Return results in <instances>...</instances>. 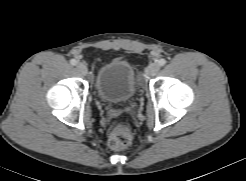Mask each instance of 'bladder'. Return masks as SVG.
<instances>
[{
	"instance_id": "31cf9c89",
	"label": "bladder",
	"mask_w": 246,
	"mask_h": 181,
	"mask_svg": "<svg viewBox=\"0 0 246 181\" xmlns=\"http://www.w3.org/2000/svg\"><path fill=\"white\" fill-rule=\"evenodd\" d=\"M138 87L137 74L132 65L124 59H113L105 63L95 78L98 97L108 103L130 101Z\"/></svg>"
}]
</instances>
